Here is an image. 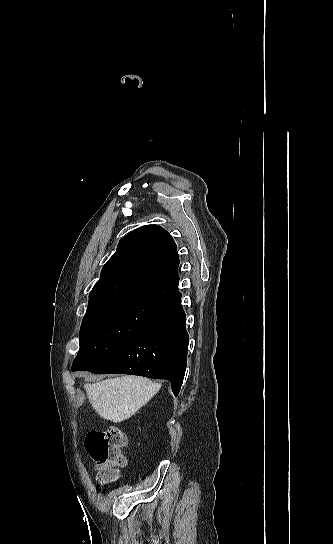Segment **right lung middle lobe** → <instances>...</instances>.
Segmentation results:
<instances>
[{"label":"right lung middle lobe","mask_w":333,"mask_h":544,"mask_svg":"<svg viewBox=\"0 0 333 544\" xmlns=\"http://www.w3.org/2000/svg\"><path fill=\"white\" fill-rule=\"evenodd\" d=\"M170 303L147 297L89 302L72 367L108 354L148 326Z\"/></svg>","instance_id":"right-lung-middle-lobe-1"}]
</instances>
